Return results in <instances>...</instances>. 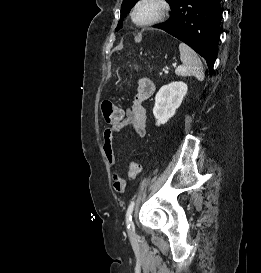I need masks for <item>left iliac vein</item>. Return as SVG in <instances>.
Here are the masks:
<instances>
[{
    "mask_svg": "<svg viewBox=\"0 0 261 273\" xmlns=\"http://www.w3.org/2000/svg\"><path fill=\"white\" fill-rule=\"evenodd\" d=\"M130 232H131V234H134V227L133 226H131Z\"/></svg>",
    "mask_w": 261,
    "mask_h": 273,
    "instance_id": "left-iliac-vein-1",
    "label": "left iliac vein"
}]
</instances>
